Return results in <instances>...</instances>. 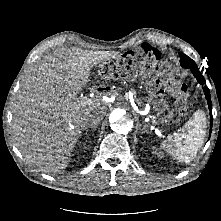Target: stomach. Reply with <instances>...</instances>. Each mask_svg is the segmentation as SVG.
<instances>
[{
	"mask_svg": "<svg viewBox=\"0 0 221 221\" xmlns=\"http://www.w3.org/2000/svg\"><path fill=\"white\" fill-rule=\"evenodd\" d=\"M146 79L143 87L149 95L151 101V113L153 118L161 123L172 119L174 113V102L172 97L167 94V82L170 80L172 71L170 66L160 60L150 64L145 72Z\"/></svg>",
	"mask_w": 221,
	"mask_h": 221,
	"instance_id": "obj_1",
	"label": "stomach"
}]
</instances>
